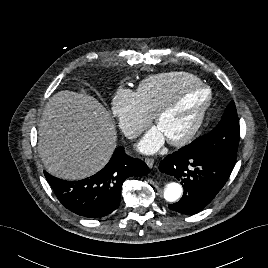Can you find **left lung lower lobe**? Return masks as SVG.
Returning a JSON list of instances; mask_svg holds the SVG:
<instances>
[{
  "mask_svg": "<svg viewBox=\"0 0 268 268\" xmlns=\"http://www.w3.org/2000/svg\"><path fill=\"white\" fill-rule=\"evenodd\" d=\"M235 162L215 155L187 153L179 149L161 161L159 170L181 180L182 198L171 210L194 214L207 206L227 182Z\"/></svg>",
  "mask_w": 268,
  "mask_h": 268,
  "instance_id": "obj_1",
  "label": "left lung lower lobe"
}]
</instances>
